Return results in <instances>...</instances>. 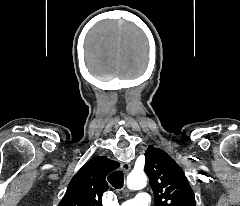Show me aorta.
<instances>
[{"mask_svg":"<svg viewBox=\"0 0 240 206\" xmlns=\"http://www.w3.org/2000/svg\"><path fill=\"white\" fill-rule=\"evenodd\" d=\"M147 183L144 172H131L127 177V187L131 190L143 188Z\"/></svg>","mask_w":240,"mask_h":206,"instance_id":"obj_1","label":"aorta"}]
</instances>
